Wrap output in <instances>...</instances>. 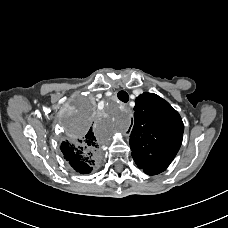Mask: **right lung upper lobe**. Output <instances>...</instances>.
Returning <instances> with one entry per match:
<instances>
[{"label": "right lung upper lobe", "mask_w": 228, "mask_h": 228, "mask_svg": "<svg viewBox=\"0 0 228 228\" xmlns=\"http://www.w3.org/2000/svg\"><path fill=\"white\" fill-rule=\"evenodd\" d=\"M98 144L92 128L85 137L62 142L61 151L71 166L80 173H90L94 165Z\"/></svg>", "instance_id": "right-lung-upper-lobe-1"}]
</instances>
